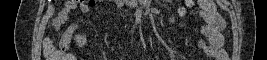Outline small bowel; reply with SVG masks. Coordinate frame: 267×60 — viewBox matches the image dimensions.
Returning a JSON list of instances; mask_svg holds the SVG:
<instances>
[{"label":"small bowel","mask_w":267,"mask_h":60,"mask_svg":"<svg viewBox=\"0 0 267 60\" xmlns=\"http://www.w3.org/2000/svg\"><path fill=\"white\" fill-rule=\"evenodd\" d=\"M186 6H191L194 1L187 0ZM199 15L203 23L198 27L200 37L197 38L196 44L202 53L215 60H226L227 55L223 50L224 38L223 30L225 28V20L220 16L212 0H199ZM77 8L82 13L90 10L91 5L77 4L76 2H67L61 10L60 18L53 24L55 29H58L61 24L69 17V15ZM77 25L69 26L60 38V46L65 52L68 51L69 45L73 40L78 47H84L87 43V35L84 30L77 31Z\"/></svg>","instance_id":"small-bowel-1"}]
</instances>
